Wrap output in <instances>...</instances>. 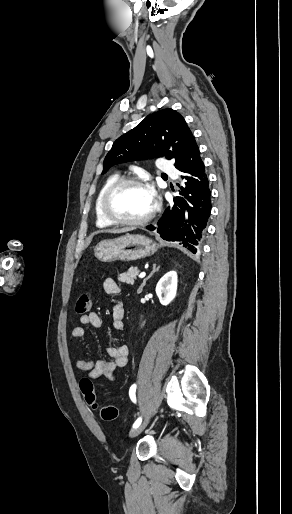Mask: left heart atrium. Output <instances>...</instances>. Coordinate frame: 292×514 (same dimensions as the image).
<instances>
[{"mask_svg": "<svg viewBox=\"0 0 292 514\" xmlns=\"http://www.w3.org/2000/svg\"><path fill=\"white\" fill-rule=\"evenodd\" d=\"M145 190H146V193H147V195H148V197H149V199H150L151 203L153 204V203H154V201H155V194H154V191H153L152 187H151V186H149V185H147V186L145 187Z\"/></svg>", "mask_w": 292, "mask_h": 514, "instance_id": "39dd6f15", "label": "left heart atrium"}]
</instances>
